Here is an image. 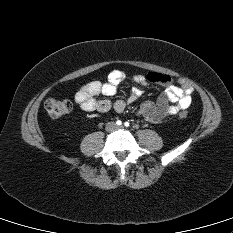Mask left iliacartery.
I'll use <instances>...</instances> for the list:
<instances>
[{
    "instance_id": "obj_1",
    "label": "left iliac artery",
    "mask_w": 233,
    "mask_h": 233,
    "mask_svg": "<svg viewBox=\"0 0 233 233\" xmlns=\"http://www.w3.org/2000/svg\"><path fill=\"white\" fill-rule=\"evenodd\" d=\"M124 125H125V127H128L130 125V123L129 122H125Z\"/></svg>"
}]
</instances>
